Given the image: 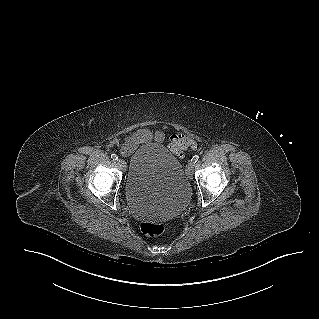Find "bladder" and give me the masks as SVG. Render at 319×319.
Returning a JSON list of instances; mask_svg holds the SVG:
<instances>
[{
    "label": "bladder",
    "instance_id": "obj_1",
    "mask_svg": "<svg viewBox=\"0 0 319 319\" xmlns=\"http://www.w3.org/2000/svg\"><path fill=\"white\" fill-rule=\"evenodd\" d=\"M124 190L127 204L137 216L155 219L179 212L191 195L183 165L159 143L133 152Z\"/></svg>",
    "mask_w": 319,
    "mask_h": 319
}]
</instances>
